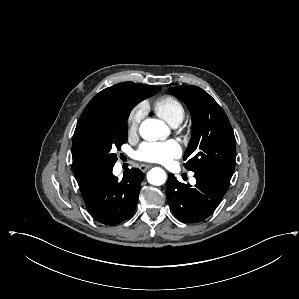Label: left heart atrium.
<instances>
[{
  "label": "left heart atrium",
  "mask_w": 299,
  "mask_h": 299,
  "mask_svg": "<svg viewBox=\"0 0 299 299\" xmlns=\"http://www.w3.org/2000/svg\"><path fill=\"white\" fill-rule=\"evenodd\" d=\"M180 145L169 140L165 142H144L135 152V157L141 161L169 164L174 158L181 155Z\"/></svg>",
  "instance_id": "1"
}]
</instances>
